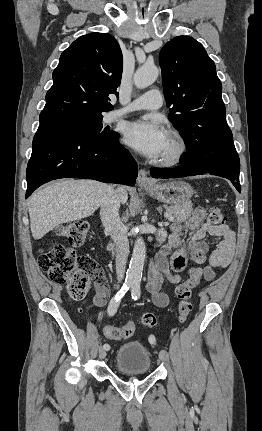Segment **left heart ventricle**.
Returning <instances> with one entry per match:
<instances>
[{
    "label": "left heart ventricle",
    "instance_id": "b2bd125f",
    "mask_svg": "<svg viewBox=\"0 0 262 431\" xmlns=\"http://www.w3.org/2000/svg\"><path fill=\"white\" fill-rule=\"evenodd\" d=\"M172 149H173V144H172L170 137L168 136L166 146H165L161 156L168 154Z\"/></svg>",
    "mask_w": 262,
    "mask_h": 431
}]
</instances>
